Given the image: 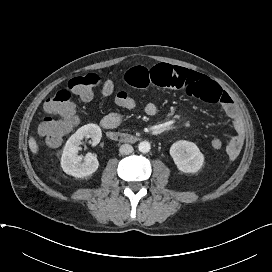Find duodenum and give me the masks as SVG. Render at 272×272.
Listing matches in <instances>:
<instances>
[{
    "label": "duodenum",
    "instance_id": "obj_1",
    "mask_svg": "<svg viewBox=\"0 0 272 272\" xmlns=\"http://www.w3.org/2000/svg\"><path fill=\"white\" fill-rule=\"evenodd\" d=\"M107 137L113 141L121 143H134L137 141V137L128 133L118 131H108Z\"/></svg>",
    "mask_w": 272,
    "mask_h": 272
}]
</instances>
